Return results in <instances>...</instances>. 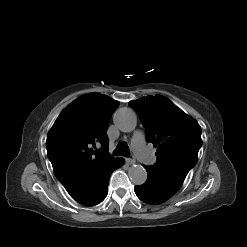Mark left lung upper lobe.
Returning a JSON list of instances; mask_svg holds the SVG:
<instances>
[{
    "label": "left lung upper lobe",
    "instance_id": "1",
    "mask_svg": "<svg viewBox=\"0 0 247 247\" xmlns=\"http://www.w3.org/2000/svg\"><path fill=\"white\" fill-rule=\"evenodd\" d=\"M146 128L147 141L157 148L153 167L180 189L196 164L202 145L201 127L166 97L147 96L129 102Z\"/></svg>",
    "mask_w": 247,
    "mask_h": 247
}]
</instances>
